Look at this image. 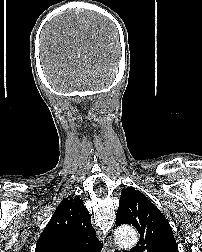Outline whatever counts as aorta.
I'll list each match as a JSON object with an SVG mask.
<instances>
[{
    "instance_id": "762f6f07",
    "label": "aorta",
    "mask_w": 202,
    "mask_h": 252,
    "mask_svg": "<svg viewBox=\"0 0 202 252\" xmlns=\"http://www.w3.org/2000/svg\"><path fill=\"white\" fill-rule=\"evenodd\" d=\"M114 237L116 243L121 247H132L138 241L136 230L129 226L116 229Z\"/></svg>"
}]
</instances>
